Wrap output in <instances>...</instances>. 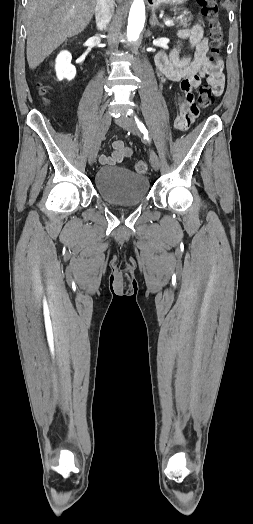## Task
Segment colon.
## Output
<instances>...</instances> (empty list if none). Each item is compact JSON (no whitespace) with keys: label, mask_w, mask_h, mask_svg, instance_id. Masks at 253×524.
<instances>
[{"label":"colon","mask_w":253,"mask_h":524,"mask_svg":"<svg viewBox=\"0 0 253 524\" xmlns=\"http://www.w3.org/2000/svg\"><path fill=\"white\" fill-rule=\"evenodd\" d=\"M200 5L202 15L205 17L209 34H210V55L211 58H218L223 48V29L218 16V5L216 0H197ZM41 93H44V88L39 87ZM213 98V90L208 86H202L197 92V101L202 107L209 105ZM148 166L143 161H138L135 164V170L138 173H145Z\"/></svg>","instance_id":"colon-1"}]
</instances>
